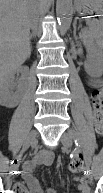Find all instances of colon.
<instances>
[{
  "label": "colon",
  "mask_w": 103,
  "mask_h": 193,
  "mask_svg": "<svg viewBox=\"0 0 103 193\" xmlns=\"http://www.w3.org/2000/svg\"><path fill=\"white\" fill-rule=\"evenodd\" d=\"M93 108H94V124L96 130L101 134L103 132V91L95 90L92 93ZM73 173H83V164L80 159H74L69 166ZM16 193H27L23 186L15 189Z\"/></svg>",
  "instance_id": "obj_1"
}]
</instances>
